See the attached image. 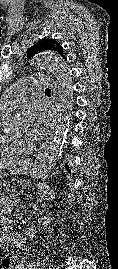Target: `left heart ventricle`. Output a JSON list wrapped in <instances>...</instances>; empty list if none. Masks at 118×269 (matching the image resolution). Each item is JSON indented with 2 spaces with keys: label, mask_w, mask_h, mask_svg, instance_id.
Segmentation results:
<instances>
[{
  "label": "left heart ventricle",
  "mask_w": 118,
  "mask_h": 269,
  "mask_svg": "<svg viewBox=\"0 0 118 269\" xmlns=\"http://www.w3.org/2000/svg\"><path fill=\"white\" fill-rule=\"evenodd\" d=\"M18 132H20L21 131V128H18V130H17Z\"/></svg>",
  "instance_id": "b2bd125f"
}]
</instances>
